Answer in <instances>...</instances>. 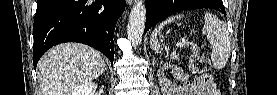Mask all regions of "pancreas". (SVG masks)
<instances>
[{"label":"pancreas","mask_w":277,"mask_h":95,"mask_svg":"<svg viewBox=\"0 0 277 95\" xmlns=\"http://www.w3.org/2000/svg\"><path fill=\"white\" fill-rule=\"evenodd\" d=\"M170 58L172 60H177L179 58V54L176 53V52H172L171 55H170Z\"/></svg>","instance_id":"pancreas-1"}]
</instances>
